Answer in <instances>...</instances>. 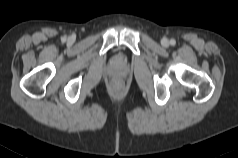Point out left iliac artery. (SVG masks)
Wrapping results in <instances>:
<instances>
[{
    "label": "left iliac artery",
    "instance_id": "1",
    "mask_svg": "<svg viewBox=\"0 0 238 158\" xmlns=\"http://www.w3.org/2000/svg\"><path fill=\"white\" fill-rule=\"evenodd\" d=\"M170 44H171L172 46H174V45L176 44V41H175L174 39H171V40H170Z\"/></svg>",
    "mask_w": 238,
    "mask_h": 158
}]
</instances>
